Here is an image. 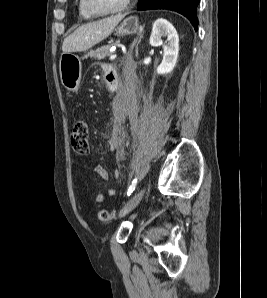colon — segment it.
I'll list each match as a JSON object with an SVG mask.
<instances>
[{
  "instance_id": "1",
  "label": "colon",
  "mask_w": 267,
  "mask_h": 298,
  "mask_svg": "<svg viewBox=\"0 0 267 298\" xmlns=\"http://www.w3.org/2000/svg\"><path fill=\"white\" fill-rule=\"evenodd\" d=\"M71 146L75 153L84 156L89 152V126L86 121H79L73 128L70 136ZM99 219L103 222H110L115 219V212L101 210Z\"/></svg>"
}]
</instances>
